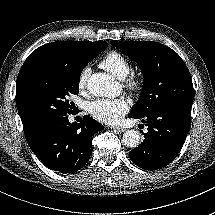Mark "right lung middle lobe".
<instances>
[{
	"label": "right lung middle lobe",
	"instance_id": "right-lung-middle-lobe-1",
	"mask_svg": "<svg viewBox=\"0 0 215 215\" xmlns=\"http://www.w3.org/2000/svg\"><path fill=\"white\" fill-rule=\"evenodd\" d=\"M106 47L101 44L93 50L80 52L67 64L24 83L16 91V105L22 123L35 127L46 120L72 113L68 97L78 94L81 71Z\"/></svg>",
	"mask_w": 215,
	"mask_h": 215
}]
</instances>
